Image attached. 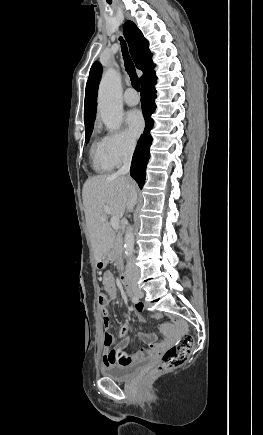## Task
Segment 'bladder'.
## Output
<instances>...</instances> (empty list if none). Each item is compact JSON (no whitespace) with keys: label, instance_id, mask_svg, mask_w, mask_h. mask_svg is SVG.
<instances>
[{"label":"bladder","instance_id":"obj_1","mask_svg":"<svg viewBox=\"0 0 263 435\" xmlns=\"http://www.w3.org/2000/svg\"><path fill=\"white\" fill-rule=\"evenodd\" d=\"M145 362V360H140L126 365L105 366L101 369V373L115 381H127L138 372Z\"/></svg>","mask_w":263,"mask_h":435}]
</instances>
